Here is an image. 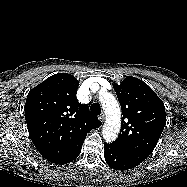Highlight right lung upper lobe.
<instances>
[{
    "label": "right lung upper lobe",
    "instance_id": "obj_1",
    "mask_svg": "<svg viewBox=\"0 0 187 187\" xmlns=\"http://www.w3.org/2000/svg\"><path fill=\"white\" fill-rule=\"evenodd\" d=\"M79 81L70 74L50 76L28 93L25 118L39 153L55 164H67L81 152L87 133L102 125L76 99Z\"/></svg>",
    "mask_w": 187,
    "mask_h": 187
}]
</instances>
